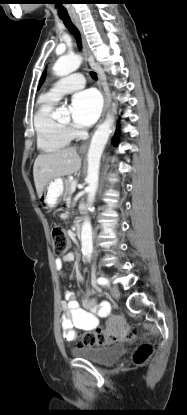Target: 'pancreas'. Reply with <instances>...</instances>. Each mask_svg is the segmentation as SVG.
Wrapping results in <instances>:
<instances>
[{
    "label": "pancreas",
    "instance_id": "pancreas-1",
    "mask_svg": "<svg viewBox=\"0 0 187 415\" xmlns=\"http://www.w3.org/2000/svg\"><path fill=\"white\" fill-rule=\"evenodd\" d=\"M72 182H73V179H71L70 177L65 179V192H64V198H63L64 201H67L72 195V191H71Z\"/></svg>",
    "mask_w": 187,
    "mask_h": 415
}]
</instances>
